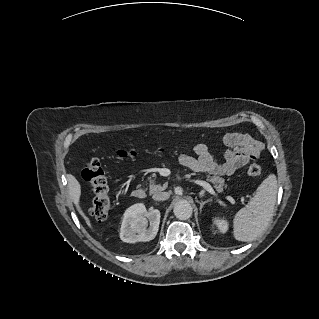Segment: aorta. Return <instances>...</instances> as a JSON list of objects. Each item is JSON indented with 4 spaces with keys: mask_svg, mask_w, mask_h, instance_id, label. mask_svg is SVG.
Wrapping results in <instances>:
<instances>
[{
    "mask_svg": "<svg viewBox=\"0 0 319 319\" xmlns=\"http://www.w3.org/2000/svg\"><path fill=\"white\" fill-rule=\"evenodd\" d=\"M173 212L179 220H187L192 216L193 208L188 201L181 200L175 204Z\"/></svg>",
    "mask_w": 319,
    "mask_h": 319,
    "instance_id": "obj_1",
    "label": "aorta"
}]
</instances>
